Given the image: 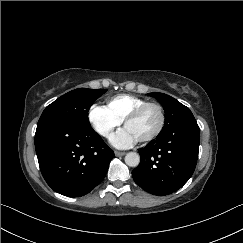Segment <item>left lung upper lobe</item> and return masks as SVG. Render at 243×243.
<instances>
[{"label": "left lung upper lobe", "instance_id": "obj_1", "mask_svg": "<svg viewBox=\"0 0 243 243\" xmlns=\"http://www.w3.org/2000/svg\"><path fill=\"white\" fill-rule=\"evenodd\" d=\"M148 95L155 97L163 105L165 111V124L160 133L166 132L184 120L194 117L188 107L169 95L159 92L148 93Z\"/></svg>", "mask_w": 243, "mask_h": 243}]
</instances>
